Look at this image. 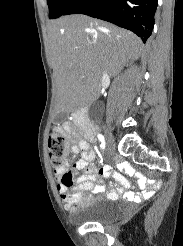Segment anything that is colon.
<instances>
[{
    "label": "colon",
    "mask_w": 183,
    "mask_h": 246,
    "mask_svg": "<svg viewBox=\"0 0 183 246\" xmlns=\"http://www.w3.org/2000/svg\"><path fill=\"white\" fill-rule=\"evenodd\" d=\"M49 157L52 166L58 169L67 163V144L65 138L60 133H52L48 140ZM67 173H72L67 172ZM74 178H64L65 182L71 184ZM78 206V204H74Z\"/></svg>",
    "instance_id": "colon-1"
}]
</instances>
